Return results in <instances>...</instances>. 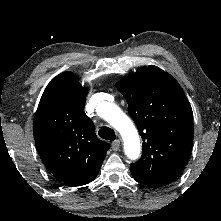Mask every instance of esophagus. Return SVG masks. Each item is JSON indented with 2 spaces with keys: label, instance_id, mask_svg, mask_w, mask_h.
<instances>
[{
  "label": "esophagus",
  "instance_id": "1",
  "mask_svg": "<svg viewBox=\"0 0 221 221\" xmlns=\"http://www.w3.org/2000/svg\"><path fill=\"white\" fill-rule=\"evenodd\" d=\"M120 147V140H115L111 144V148L113 151H117Z\"/></svg>",
  "mask_w": 221,
  "mask_h": 221
}]
</instances>
